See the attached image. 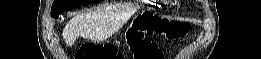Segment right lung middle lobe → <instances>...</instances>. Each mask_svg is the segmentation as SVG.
Returning <instances> with one entry per match:
<instances>
[{
    "label": "right lung middle lobe",
    "instance_id": "right-lung-middle-lobe-1",
    "mask_svg": "<svg viewBox=\"0 0 261 59\" xmlns=\"http://www.w3.org/2000/svg\"><path fill=\"white\" fill-rule=\"evenodd\" d=\"M102 0H55L51 8V16L59 17L64 11H68L81 5L99 3Z\"/></svg>",
    "mask_w": 261,
    "mask_h": 59
}]
</instances>
